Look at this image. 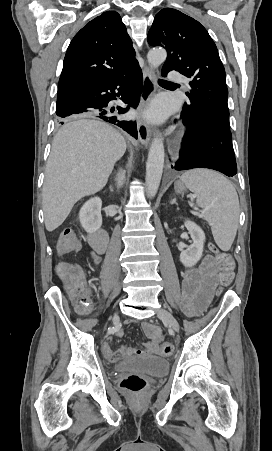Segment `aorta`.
<instances>
[{
  "instance_id": "762f6f07",
  "label": "aorta",
  "mask_w": 272,
  "mask_h": 451,
  "mask_svg": "<svg viewBox=\"0 0 272 451\" xmlns=\"http://www.w3.org/2000/svg\"><path fill=\"white\" fill-rule=\"evenodd\" d=\"M167 58L166 50L154 48L147 54V60L151 68H158ZM164 144L157 136L150 144L146 166V186L149 198H154L160 186L164 166Z\"/></svg>"
}]
</instances>
